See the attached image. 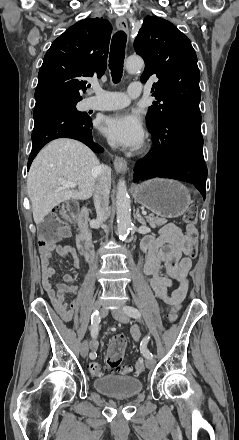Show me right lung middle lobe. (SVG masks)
I'll return each instance as SVG.
<instances>
[{"mask_svg": "<svg viewBox=\"0 0 239 440\" xmlns=\"http://www.w3.org/2000/svg\"><path fill=\"white\" fill-rule=\"evenodd\" d=\"M49 99H52V100H58V101H61V102H63V103L68 104L69 106H71V107L74 109V111H75L76 114H78V115H83V116L87 115V113H85V112H79V111H77V109L75 108V107H76V103H77L78 101H80L82 98H73V97H53V98H49ZM47 100H48V99H47Z\"/></svg>", "mask_w": 239, "mask_h": 440, "instance_id": "1", "label": "right lung middle lobe"}]
</instances>
